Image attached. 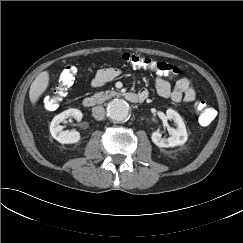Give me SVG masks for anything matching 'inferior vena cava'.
<instances>
[{"label": "inferior vena cava", "instance_id": "602c4592", "mask_svg": "<svg viewBox=\"0 0 243 243\" xmlns=\"http://www.w3.org/2000/svg\"><path fill=\"white\" fill-rule=\"evenodd\" d=\"M105 116V111L102 106H96L93 108V117L96 120H102Z\"/></svg>", "mask_w": 243, "mask_h": 243}]
</instances>
